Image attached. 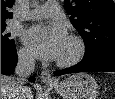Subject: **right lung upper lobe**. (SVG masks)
<instances>
[{
    "label": "right lung upper lobe",
    "instance_id": "1",
    "mask_svg": "<svg viewBox=\"0 0 115 99\" xmlns=\"http://www.w3.org/2000/svg\"><path fill=\"white\" fill-rule=\"evenodd\" d=\"M15 0H1V23H5V20L12 18V12H9L8 9L13 6Z\"/></svg>",
    "mask_w": 115,
    "mask_h": 99
}]
</instances>
